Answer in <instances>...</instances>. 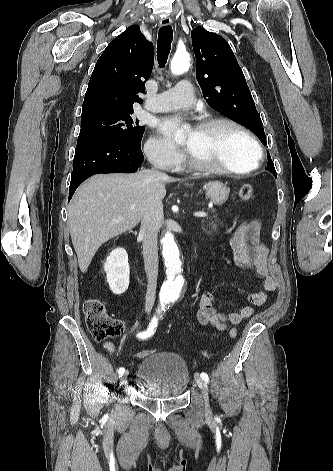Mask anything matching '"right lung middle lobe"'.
Wrapping results in <instances>:
<instances>
[{
    "label": "right lung middle lobe",
    "mask_w": 333,
    "mask_h": 471,
    "mask_svg": "<svg viewBox=\"0 0 333 471\" xmlns=\"http://www.w3.org/2000/svg\"><path fill=\"white\" fill-rule=\"evenodd\" d=\"M133 109L111 111L81 118L79 139L106 137L141 147L144 127L132 118Z\"/></svg>",
    "instance_id": "dd1d6c3e"
}]
</instances>
